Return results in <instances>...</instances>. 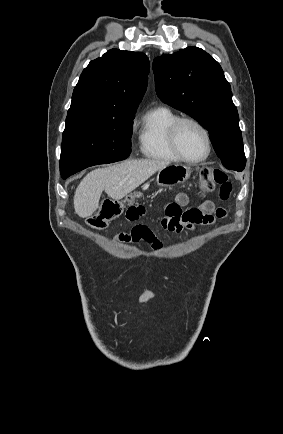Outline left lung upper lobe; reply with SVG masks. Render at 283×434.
I'll return each mask as SVG.
<instances>
[{"mask_svg":"<svg viewBox=\"0 0 283 434\" xmlns=\"http://www.w3.org/2000/svg\"><path fill=\"white\" fill-rule=\"evenodd\" d=\"M153 72L158 97L200 122L222 164L242 171L246 158L238 112L219 63L193 46L155 58Z\"/></svg>","mask_w":283,"mask_h":434,"instance_id":"left-lung-upper-lobe-1","label":"left lung upper lobe"}]
</instances>
